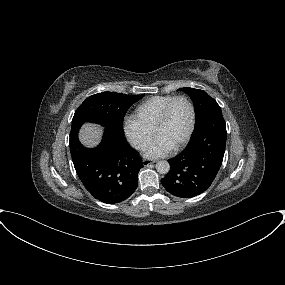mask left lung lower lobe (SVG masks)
Listing matches in <instances>:
<instances>
[{"instance_id": "left-lung-lower-lobe-1", "label": "left lung lower lobe", "mask_w": 285, "mask_h": 285, "mask_svg": "<svg viewBox=\"0 0 285 285\" xmlns=\"http://www.w3.org/2000/svg\"><path fill=\"white\" fill-rule=\"evenodd\" d=\"M226 136L222 114L210 116L194 130L186 148L168 160L170 170L161 179L164 188L181 198H191L204 192L222 164Z\"/></svg>"}]
</instances>
